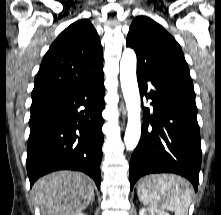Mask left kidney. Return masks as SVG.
<instances>
[{
    "instance_id": "obj_1",
    "label": "left kidney",
    "mask_w": 221,
    "mask_h": 215,
    "mask_svg": "<svg viewBox=\"0 0 221 215\" xmlns=\"http://www.w3.org/2000/svg\"><path fill=\"white\" fill-rule=\"evenodd\" d=\"M139 215H170V214L160 209L142 208L139 211Z\"/></svg>"
}]
</instances>
